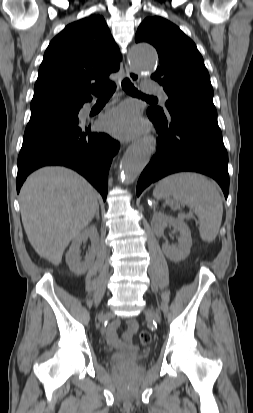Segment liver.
<instances>
[{"mask_svg":"<svg viewBox=\"0 0 253 413\" xmlns=\"http://www.w3.org/2000/svg\"><path fill=\"white\" fill-rule=\"evenodd\" d=\"M22 223L40 257L61 263L71 240L84 230L99 207L95 189L76 172L58 166L32 173L20 191Z\"/></svg>","mask_w":253,"mask_h":413,"instance_id":"1","label":"liver"}]
</instances>
